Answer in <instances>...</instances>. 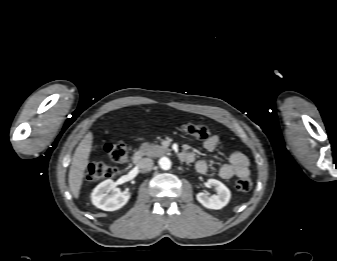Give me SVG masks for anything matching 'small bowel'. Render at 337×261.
<instances>
[{"label": "small bowel", "mask_w": 337, "mask_h": 261, "mask_svg": "<svg viewBox=\"0 0 337 261\" xmlns=\"http://www.w3.org/2000/svg\"><path fill=\"white\" fill-rule=\"evenodd\" d=\"M219 142V138L216 135H212L209 139L205 140L204 148L207 151H213ZM190 155V160L187 162H192L195 156L190 151H185ZM195 168L198 173L206 174L209 171V165L204 160H199L196 162ZM250 173L249 170V160L241 152H233L226 163L221 165L218 169V175L222 179H230L232 177H247Z\"/></svg>", "instance_id": "obj_1"}]
</instances>
